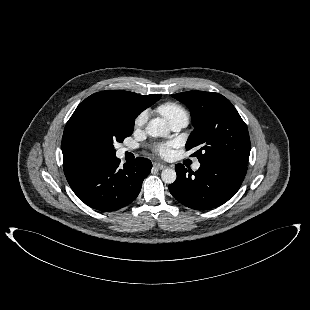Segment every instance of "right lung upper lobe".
Returning <instances> with one entry per match:
<instances>
[{"mask_svg": "<svg viewBox=\"0 0 310 310\" xmlns=\"http://www.w3.org/2000/svg\"><path fill=\"white\" fill-rule=\"evenodd\" d=\"M161 95L142 96L124 90L101 91L86 98L81 106H110L119 110L126 118L134 120L146 108L160 99ZM68 159V157H63Z\"/></svg>", "mask_w": 310, "mask_h": 310, "instance_id": "obj_1", "label": "right lung upper lobe"}]
</instances>
